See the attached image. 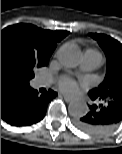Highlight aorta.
<instances>
[{"instance_id": "1", "label": "aorta", "mask_w": 122, "mask_h": 154, "mask_svg": "<svg viewBox=\"0 0 122 154\" xmlns=\"http://www.w3.org/2000/svg\"><path fill=\"white\" fill-rule=\"evenodd\" d=\"M58 60L65 67H76L81 60V52L76 46H64L58 52ZM84 101L75 100L69 103L68 111L74 117H81L88 112Z\"/></svg>"}]
</instances>
